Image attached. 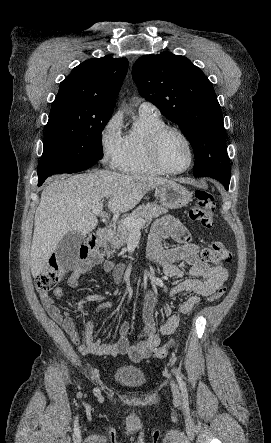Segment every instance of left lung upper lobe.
Instances as JSON below:
<instances>
[{
	"instance_id": "left-lung-upper-lobe-1",
	"label": "left lung upper lobe",
	"mask_w": 271,
	"mask_h": 443,
	"mask_svg": "<svg viewBox=\"0 0 271 443\" xmlns=\"http://www.w3.org/2000/svg\"><path fill=\"white\" fill-rule=\"evenodd\" d=\"M139 93L178 124L195 154L194 176L219 180L228 190L230 160L220 105L200 68L180 55L140 57L132 68Z\"/></svg>"
}]
</instances>
